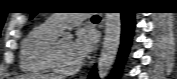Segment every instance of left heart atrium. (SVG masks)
I'll use <instances>...</instances> for the list:
<instances>
[{
    "label": "left heart atrium",
    "instance_id": "obj_1",
    "mask_svg": "<svg viewBox=\"0 0 177 79\" xmlns=\"http://www.w3.org/2000/svg\"><path fill=\"white\" fill-rule=\"evenodd\" d=\"M94 45V37L90 33L80 31L72 42L71 50L75 59L80 63L85 60Z\"/></svg>",
    "mask_w": 177,
    "mask_h": 79
}]
</instances>
